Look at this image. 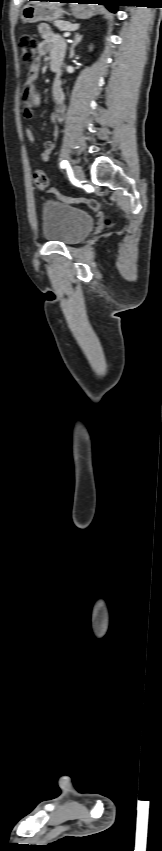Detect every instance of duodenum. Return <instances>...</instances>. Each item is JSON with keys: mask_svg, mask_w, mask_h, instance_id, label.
Returning a JSON list of instances; mask_svg holds the SVG:
<instances>
[{"mask_svg": "<svg viewBox=\"0 0 162 851\" xmlns=\"http://www.w3.org/2000/svg\"><path fill=\"white\" fill-rule=\"evenodd\" d=\"M59 68H60V63L56 60H52L51 61V69L56 72V71L59 70Z\"/></svg>", "mask_w": 162, "mask_h": 851, "instance_id": "410a0bca", "label": "duodenum"}]
</instances>
